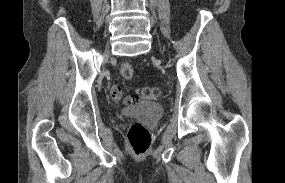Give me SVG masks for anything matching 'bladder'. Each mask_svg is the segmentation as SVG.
<instances>
[{"instance_id": "31cf9c89", "label": "bladder", "mask_w": 285, "mask_h": 183, "mask_svg": "<svg viewBox=\"0 0 285 183\" xmlns=\"http://www.w3.org/2000/svg\"><path fill=\"white\" fill-rule=\"evenodd\" d=\"M123 115L142 120L148 125H155L164 114L163 107L154 102H143L123 109Z\"/></svg>"}]
</instances>
